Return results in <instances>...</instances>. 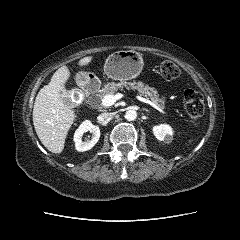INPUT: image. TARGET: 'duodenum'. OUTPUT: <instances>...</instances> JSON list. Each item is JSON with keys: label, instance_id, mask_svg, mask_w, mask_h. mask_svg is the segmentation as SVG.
Listing matches in <instances>:
<instances>
[{"label": "duodenum", "instance_id": "duodenum-1", "mask_svg": "<svg viewBox=\"0 0 240 240\" xmlns=\"http://www.w3.org/2000/svg\"><path fill=\"white\" fill-rule=\"evenodd\" d=\"M83 87L89 94H93L98 90V83L93 79H87L84 81Z\"/></svg>", "mask_w": 240, "mask_h": 240}]
</instances>
